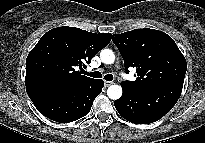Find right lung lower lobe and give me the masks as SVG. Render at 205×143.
Instances as JSON below:
<instances>
[{"label": "right lung lower lobe", "mask_w": 205, "mask_h": 143, "mask_svg": "<svg viewBox=\"0 0 205 143\" xmlns=\"http://www.w3.org/2000/svg\"><path fill=\"white\" fill-rule=\"evenodd\" d=\"M104 86L103 80H93L75 88L27 87L36 108L47 118L68 123L87 115Z\"/></svg>", "instance_id": "98d812e1"}]
</instances>
